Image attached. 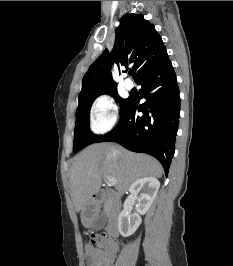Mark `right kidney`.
<instances>
[{
    "label": "right kidney",
    "mask_w": 233,
    "mask_h": 266,
    "mask_svg": "<svg viewBox=\"0 0 233 266\" xmlns=\"http://www.w3.org/2000/svg\"><path fill=\"white\" fill-rule=\"evenodd\" d=\"M159 187L160 182L154 177L141 178L130 186L129 199L125 202L118 218V229L122 236L127 237L135 233L141 224V215L150 208ZM135 201H137L136 213L131 214V204Z\"/></svg>",
    "instance_id": "ca27d5eb"
}]
</instances>
